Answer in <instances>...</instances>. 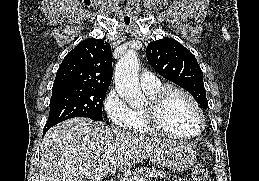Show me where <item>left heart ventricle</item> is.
Instances as JSON below:
<instances>
[{
	"mask_svg": "<svg viewBox=\"0 0 259 181\" xmlns=\"http://www.w3.org/2000/svg\"><path fill=\"white\" fill-rule=\"evenodd\" d=\"M161 121L166 128L179 134H193L200 126L196 109L179 94L167 99L161 112Z\"/></svg>",
	"mask_w": 259,
	"mask_h": 181,
	"instance_id": "obj_1",
	"label": "left heart ventricle"
}]
</instances>
